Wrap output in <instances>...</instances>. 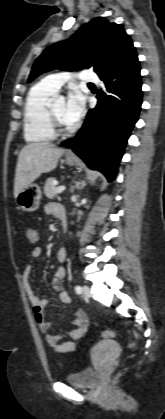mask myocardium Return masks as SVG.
Returning a JSON list of instances; mask_svg holds the SVG:
<instances>
[{
	"label": "myocardium",
	"mask_w": 165,
	"mask_h": 419,
	"mask_svg": "<svg viewBox=\"0 0 165 419\" xmlns=\"http://www.w3.org/2000/svg\"><path fill=\"white\" fill-rule=\"evenodd\" d=\"M48 118L53 132L57 136H64L70 134L74 127L72 125L63 124L55 114L52 105L48 106Z\"/></svg>",
	"instance_id": "obj_1"
}]
</instances>
